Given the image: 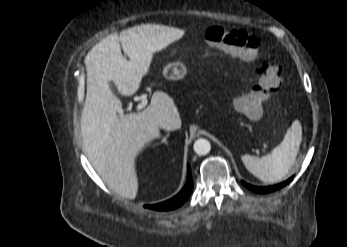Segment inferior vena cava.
I'll list each match as a JSON object with an SVG mask.
<instances>
[{
	"instance_id": "1",
	"label": "inferior vena cava",
	"mask_w": 347,
	"mask_h": 247,
	"mask_svg": "<svg viewBox=\"0 0 347 247\" xmlns=\"http://www.w3.org/2000/svg\"><path fill=\"white\" fill-rule=\"evenodd\" d=\"M159 126L166 131L177 129V122L172 118H163L159 122Z\"/></svg>"
}]
</instances>
